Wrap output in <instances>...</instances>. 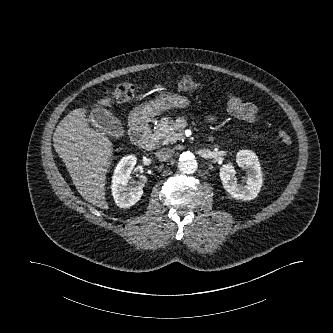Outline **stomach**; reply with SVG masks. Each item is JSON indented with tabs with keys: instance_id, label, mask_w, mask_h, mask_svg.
<instances>
[{
	"instance_id": "stomach-1",
	"label": "stomach",
	"mask_w": 333,
	"mask_h": 333,
	"mask_svg": "<svg viewBox=\"0 0 333 333\" xmlns=\"http://www.w3.org/2000/svg\"><path fill=\"white\" fill-rule=\"evenodd\" d=\"M190 104V100L174 93H162L156 99L139 105L129 115V120L134 125H143L153 117L170 108H183Z\"/></svg>"
}]
</instances>
